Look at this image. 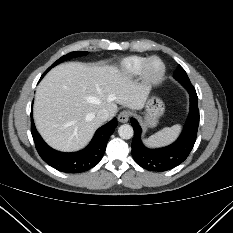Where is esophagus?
I'll return each mask as SVG.
<instances>
[{
  "label": "esophagus",
  "mask_w": 233,
  "mask_h": 233,
  "mask_svg": "<svg viewBox=\"0 0 233 233\" xmlns=\"http://www.w3.org/2000/svg\"><path fill=\"white\" fill-rule=\"evenodd\" d=\"M130 113L126 110L122 111L118 115V121L121 123H126L129 120Z\"/></svg>",
  "instance_id": "esophagus-1"
}]
</instances>
